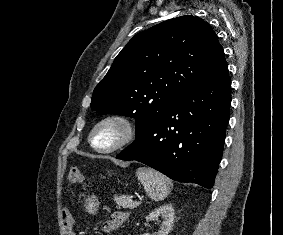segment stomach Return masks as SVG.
Segmentation results:
<instances>
[{
    "label": "stomach",
    "mask_w": 283,
    "mask_h": 235,
    "mask_svg": "<svg viewBox=\"0 0 283 235\" xmlns=\"http://www.w3.org/2000/svg\"><path fill=\"white\" fill-rule=\"evenodd\" d=\"M100 202L97 196L92 195L91 197H89L86 200V210L91 213L94 214L97 212L98 208H99Z\"/></svg>",
    "instance_id": "stomach-1"
}]
</instances>
